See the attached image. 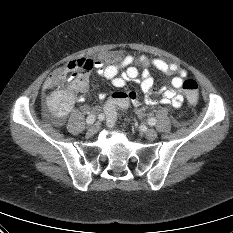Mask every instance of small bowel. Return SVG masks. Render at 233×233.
Returning a JSON list of instances; mask_svg holds the SVG:
<instances>
[{
	"mask_svg": "<svg viewBox=\"0 0 233 233\" xmlns=\"http://www.w3.org/2000/svg\"><path fill=\"white\" fill-rule=\"evenodd\" d=\"M151 66L161 72L175 74L170 83L164 87L160 103L179 108L184 101L179 91L187 75V70L183 66L160 58H149L146 55H124L118 51L108 53L104 57V61L96 60L93 62V67L98 70L99 74L108 79L116 88H123L127 81L139 80L140 89L145 97L144 102L153 106L156 105L158 101L151 95L154 78L147 69ZM121 68H123L124 71L119 74ZM140 68L142 71H140ZM50 77L51 75L46 79L43 85V89L48 91L46 97L47 114L53 124L61 125L75 103L85 100V96L89 89V75L81 79L71 80L66 88L59 90H52L50 88ZM127 93L129 103L136 107L141 105V100L136 92L128 91ZM104 97L105 94L103 93L99 95L101 99Z\"/></svg>",
	"mask_w": 233,
	"mask_h": 233,
	"instance_id": "obj_1",
	"label": "small bowel"
}]
</instances>
